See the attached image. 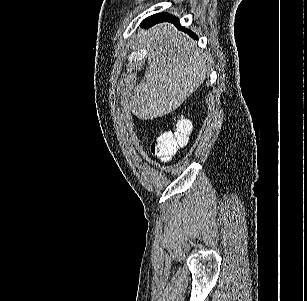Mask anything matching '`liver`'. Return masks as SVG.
<instances>
[{"mask_svg": "<svg viewBox=\"0 0 307 301\" xmlns=\"http://www.w3.org/2000/svg\"><path fill=\"white\" fill-rule=\"evenodd\" d=\"M140 38L147 44L148 62L128 106L138 118H157L178 108L199 88L213 60L171 22L142 28Z\"/></svg>", "mask_w": 307, "mask_h": 301, "instance_id": "6515ba94", "label": "liver"}]
</instances>
